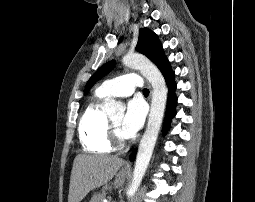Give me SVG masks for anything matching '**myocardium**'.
I'll use <instances>...</instances> for the list:
<instances>
[{
	"label": "myocardium",
	"instance_id": "myocardium-1",
	"mask_svg": "<svg viewBox=\"0 0 255 202\" xmlns=\"http://www.w3.org/2000/svg\"><path fill=\"white\" fill-rule=\"evenodd\" d=\"M108 137L110 143L117 148H123L129 142L128 137L126 138L120 135L112 120H108Z\"/></svg>",
	"mask_w": 255,
	"mask_h": 202
}]
</instances>
